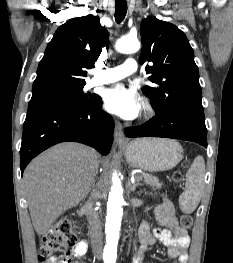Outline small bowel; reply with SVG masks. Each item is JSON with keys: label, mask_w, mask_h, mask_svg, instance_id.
Instances as JSON below:
<instances>
[{"label": "small bowel", "mask_w": 233, "mask_h": 263, "mask_svg": "<svg viewBox=\"0 0 233 263\" xmlns=\"http://www.w3.org/2000/svg\"><path fill=\"white\" fill-rule=\"evenodd\" d=\"M155 217L166 229L156 228L152 230L148 223L143 222L139 228L141 246L134 255L132 263H142L144 253L158 241L167 246L168 255L174 259V263H187L190 236L188 231L179 225L172 202L164 198L155 208ZM87 250L88 243L81 240L74 249V255L79 258L84 257ZM62 263L72 262L71 259H66Z\"/></svg>", "instance_id": "c3829d8e"}]
</instances>
